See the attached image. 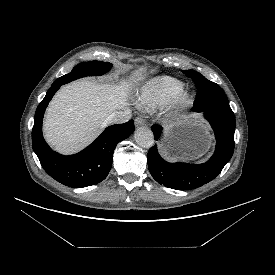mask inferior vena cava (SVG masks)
I'll list each match as a JSON object with an SVG mask.
<instances>
[{
	"label": "inferior vena cava",
	"mask_w": 275,
	"mask_h": 275,
	"mask_svg": "<svg viewBox=\"0 0 275 275\" xmlns=\"http://www.w3.org/2000/svg\"><path fill=\"white\" fill-rule=\"evenodd\" d=\"M131 118V112L129 110L125 111H115L106 118V123L122 124Z\"/></svg>",
	"instance_id": "1"
}]
</instances>
